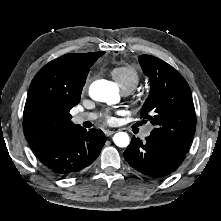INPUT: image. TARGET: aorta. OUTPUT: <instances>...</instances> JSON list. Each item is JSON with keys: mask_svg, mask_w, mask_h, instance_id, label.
Segmentation results:
<instances>
[{"mask_svg": "<svg viewBox=\"0 0 221 221\" xmlns=\"http://www.w3.org/2000/svg\"><path fill=\"white\" fill-rule=\"evenodd\" d=\"M89 95L93 100L111 103L118 98L117 88L107 80L94 81L89 88ZM113 141L118 147H127L130 143L126 132H118Z\"/></svg>", "mask_w": 221, "mask_h": 221, "instance_id": "obj_1", "label": "aorta"}]
</instances>
